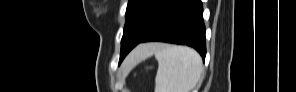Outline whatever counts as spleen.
Returning <instances> with one entry per match:
<instances>
[{
    "instance_id": "1",
    "label": "spleen",
    "mask_w": 296,
    "mask_h": 92,
    "mask_svg": "<svg viewBox=\"0 0 296 92\" xmlns=\"http://www.w3.org/2000/svg\"><path fill=\"white\" fill-rule=\"evenodd\" d=\"M141 58L152 54L158 61L155 92H191L201 78L203 63L200 55L189 47L168 44H147Z\"/></svg>"
}]
</instances>
